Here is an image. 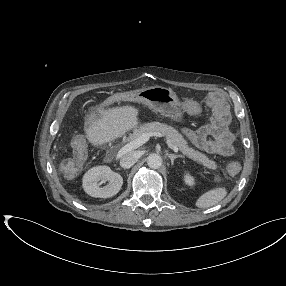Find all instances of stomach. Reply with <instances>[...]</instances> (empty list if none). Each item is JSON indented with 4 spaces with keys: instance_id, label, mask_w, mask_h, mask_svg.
<instances>
[{
    "instance_id": "obj_1",
    "label": "stomach",
    "mask_w": 286,
    "mask_h": 286,
    "mask_svg": "<svg viewBox=\"0 0 286 286\" xmlns=\"http://www.w3.org/2000/svg\"><path fill=\"white\" fill-rule=\"evenodd\" d=\"M138 96L141 102L174 121L183 119L179 99L171 88L152 86L140 89Z\"/></svg>"
}]
</instances>
